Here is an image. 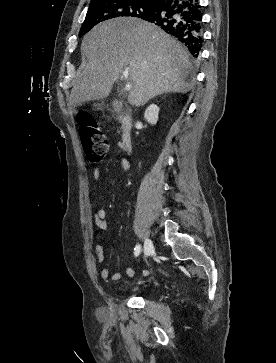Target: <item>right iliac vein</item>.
Wrapping results in <instances>:
<instances>
[{
    "instance_id": "obj_1",
    "label": "right iliac vein",
    "mask_w": 276,
    "mask_h": 363,
    "mask_svg": "<svg viewBox=\"0 0 276 363\" xmlns=\"http://www.w3.org/2000/svg\"><path fill=\"white\" fill-rule=\"evenodd\" d=\"M154 252V246L151 239L146 238L144 242V254L146 257L150 256Z\"/></svg>"
}]
</instances>
